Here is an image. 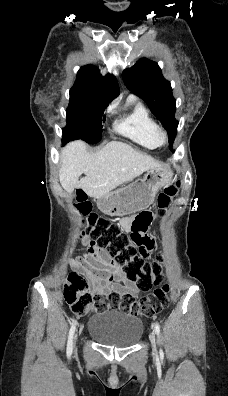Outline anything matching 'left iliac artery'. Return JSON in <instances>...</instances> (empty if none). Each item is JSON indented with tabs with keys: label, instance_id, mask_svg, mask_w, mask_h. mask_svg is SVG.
Masks as SVG:
<instances>
[{
	"label": "left iliac artery",
	"instance_id": "1",
	"mask_svg": "<svg viewBox=\"0 0 228 396\" xmlns=\"http://www.w3.org/2000/svg\"><path fill=\"white\" fill-rule=\"evenodd\" d=\"M154 328H155L156 334L159 335V333H160V326H159V324H158V323H155V324H154Z\"/></svg>",
	"mask_w": 228,
	"mask_h": 396
}]
</instances>
